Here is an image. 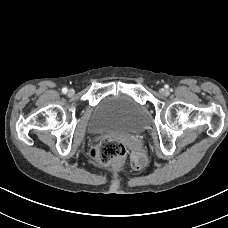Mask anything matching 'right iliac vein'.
I'll use <instances>...</instances> for the list:
<instances>
[{
    "label": "right iliac vein",
    "instance_id": "obj_1",
    "mask_svg": "<svg viewBox=\"0 0 228 228\" xmlns=\"http://www.w3.org/2000/svg\"><path fill=\"white\" fill-rule=\"evenodd\" d=\"M68 95H69V96H73V95H74V90H73V89H70V90L68 91Z\"/></svg>",
    "mask_w": 228,
    "mask_h": 228
}]
</instances>
